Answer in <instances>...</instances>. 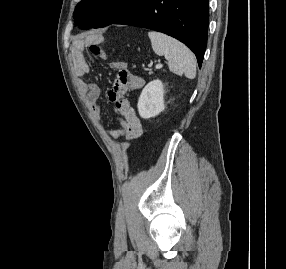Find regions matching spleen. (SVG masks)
I'll list each match as a JSON object with an SVG mask.
<instances>
[{
	"instance_id": "1",
	"label": "spleen",
	"mask_w": 286,
	"mask_h": 269,
	"mask_svg": "<svg viewBox=\"0 0 286 269\" xmlns=\"http://www.w3.org/2000/svg\"><path fill=\"white\" fill-rule=\"evenodd\" d=\"M148 36L157 55L165 56L169 70L188 79L196 76V58L194 54L180 41L163 33L150 31Z\"/></svg>"
}]
</instances>
